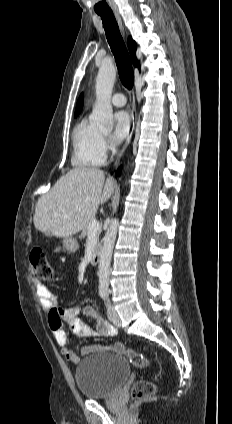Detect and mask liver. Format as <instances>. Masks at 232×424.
<instances>
[{
  "instance_id": "liver-1",
  "label": "liver",
  "mask_w": 232,
  "mask_h": 424,
  "mask_svg": "<svg viewBox=\"0 0 232 424\" xmlns=\"http://www.w3.org/2000/svg\"><path fill=\"white\" fill-rule=\"evenodd\" d=\"M113 191V179L105 180L102 170L73 168L39 198L34 226L55 237H70L87 226L99 205L107 202Z\"/></svg>"
}]
</instances>
